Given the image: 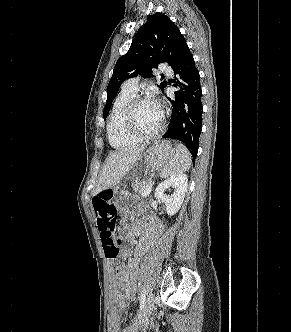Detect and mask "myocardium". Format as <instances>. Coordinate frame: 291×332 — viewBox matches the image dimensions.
Instances as JSON below:
<instances>
[{"label":"myocardium","mask_w":291,"mask_h":332,"mask_svg":"<svg viewBox=\"0 0 291 332\" xmlns=\"http://www.w3.org/2000/svg\"><path fill=\"white\" fill-rule=\"evenodd\" d=\"M145 101H153L149 96H136L129 104L126 116H125V128L126 131L134 138L142 140H150L158 137L166 127L165 112L162 106L158 105L161 112V124L152 133L141 132L136 125V113L140 104Z\"/></svg>","instance_id":"1"}]
</instances>
